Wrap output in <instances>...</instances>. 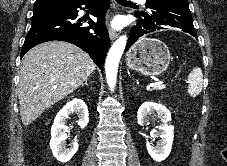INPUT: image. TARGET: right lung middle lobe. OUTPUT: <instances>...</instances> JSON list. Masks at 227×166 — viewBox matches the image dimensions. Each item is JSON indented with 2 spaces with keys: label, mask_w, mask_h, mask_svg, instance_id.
<instances>
[{
  "label": "right lung middle lobe",
  "mask_w": 227,
  "mask_h": 166,
  "mask_svg": "<svg viewBox=\"0 0 227 166\" xmlns=\"http://www.w3.org/2000/svg\"><path fill=\"white\" fill-rule=\"evenodd\" d=\"M71 5H37L33 7L32 19L40 18L42 16L69 11Z\"/></svg>",
  "instance_id": "obj_1"
}]
</instances>
